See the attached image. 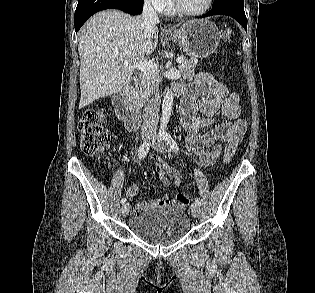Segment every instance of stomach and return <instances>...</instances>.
Here are the masks:
<instances>
[{"mask_svg":"<svg viewBox=\"0 0 315 293\" xmlns=\"http://www.w3.org/2000/svg\"><path fill=\"white\" fill-rule=\"evenodd\" d=\"M168 36L194 58H206L213 54L221 38L217 26L209 20L186 22Z\"/></svg>","mask_w":315,"mask_h":293,"instance_id":"stomach-1","label":"stomach"}]
</instances>
